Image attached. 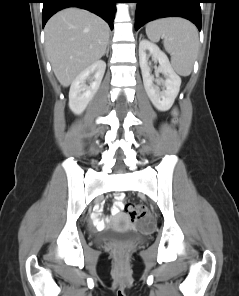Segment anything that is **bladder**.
<instances>
[{
	"label": "bladder",
	"instance_id": "31cf9c89",
	"mask_svg": "<svg viewBox=\"0 0 239 296\" xmlns=\"http://www.w3.org/2000/svg\"><path fill=\"white\" fill-rule=\"evenodd\" d=\"M124 232H119L116 230H110L104 237H98L96 241L98 243H103V242H112L114 241L118 236L123 234Z\"/></svg>",
	"mask_w": 239,
	"mask_h": 296
}]
</instances>
